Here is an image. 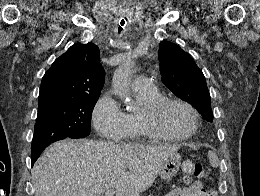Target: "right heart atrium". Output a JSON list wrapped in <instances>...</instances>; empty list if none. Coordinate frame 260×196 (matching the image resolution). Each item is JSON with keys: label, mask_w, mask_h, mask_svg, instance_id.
I'll return each mask as SVG.
<instances>
[{"label": "right heart atrium", "mask_w": 260, "mask_h": 196, "mask_svg": "<svg viewBox=\"0 0 260 196\" xmlns=\"http://www.w3.org/2000/svg\"><path fill=\"white\" fill-rule=\"evenodd\" d=\"M92 120L101 136L92 143H115L117 131L129 128L128 114L111 92H105L98 98L92 110Z\"/></svg>", "instance_id": "right-heart-atrium-1"}]
</instances>
